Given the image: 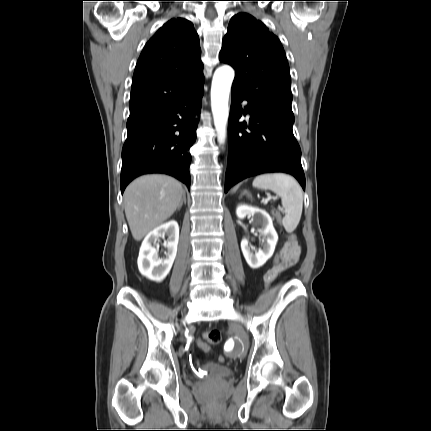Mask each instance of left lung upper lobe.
<instances>
[{"label":"left lung upper lobe","mask_w":431,"mask_h":431,"mask_svg":"<svg viewBox=\"0 0 431 431\" xmlns=\"http://www.w3.org/2000/svg\"><path fill=\"white\" fill-rule=\"evenodd\" d=\"M219 57L234 67L232 87L248 100L293 116L288 61L279 39L262 22L246 13L235 15Z\"/></svg>","instance_id":"left-lung-upper-lobe-1"}]
</instances>
